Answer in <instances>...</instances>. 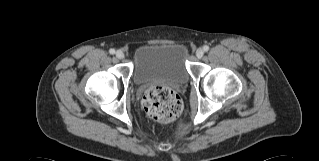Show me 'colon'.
<instances>
[{
	"label": "colon",
	"mask_w": 319,
	"mask_h": 161,
	"mask_svg": "<svg viewBox=\"0 0 319 161\" xmlns=\"http://www.w3.org/2000/svg\"><path fill=\"white\" fill-rule=\"evenodd\" d=\"M142 106L147 115L159 122L176 120L183 110L180 97L169 87H150L142 100Z\"/></svg>",
	"instance_id": "5ec220e1"
}]
</instances>
